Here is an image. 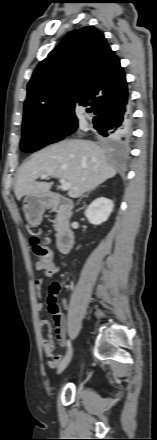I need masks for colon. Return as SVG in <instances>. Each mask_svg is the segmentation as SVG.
<instances>
[{
    "mask_svg": "<svg viewBox=\"0 0 157 440\" xmlns=\"http://www.w3.org/2000/svg\"><path fill=\"white\" fill-rule=\"evenodd\" d=\"M31 245L34 254L38 257V263H48L51 261V252L49 248L46 246L45 240L41 239L38 236H33L31 238ZM60 290V284L58 282H54L49 287V296H48V306L52 309H56L57 302L56 296Z\"/></svg>",
    "mask_w": 157,
    "mask_h": 440,
    "instance_id": "colon-1",
    "label": "colon"
}]
</instances>
